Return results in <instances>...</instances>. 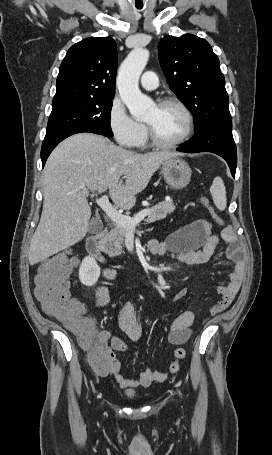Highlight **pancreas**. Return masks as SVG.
<instances>
[{"instance_id": "1", "label": "pancreas", "mask_w": 272, "mask_h": 455, "mask_svg": "<svg viewBox=\"0 0 272 455\" xmlns=\"http://www.w3.org/2000/svg\"><path fill=\"white\" fill-rule=\"evenodd\" d=\"M174 209L175 205L172 200L160 202L159 204L149 208L150 213L148 214L145 221L147 223H152L158 220H162L168 214H171ZM127 230L128 229L123 228L116 223L113 225V228L110 230L109 234L106 237L108 244L104 249V252L108 254L109 257L119 256L122 254Z\"/></svg>"}]
</instances>
